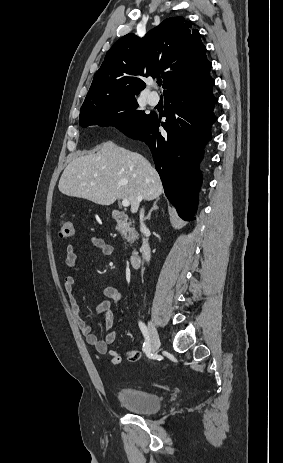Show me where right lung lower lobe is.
<instances>
[{
    "label": "right lung lower lobe",
    "instance_id": "obj_1",
    "mask_svg": "<svg viewBox=\"0 0 283 463\" xmlns=\"http://www.w3.org/2000/svg\"><path fill=\"white\" fill-rule=\"evenodd\" d=\"M214 79L209 76L164 94L166 121L160 124L151 113L136 132L128 136L144 141L150 148L165 195L184 220H193L197 194L202 183L199 162L203 147L211 139L210 128L216 118L212 94ZM166 134H161L159 126Z\"/></svg>",
    "mask_w": 283,
    "mask_h": 463
}]
</instances>
